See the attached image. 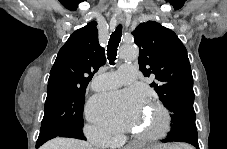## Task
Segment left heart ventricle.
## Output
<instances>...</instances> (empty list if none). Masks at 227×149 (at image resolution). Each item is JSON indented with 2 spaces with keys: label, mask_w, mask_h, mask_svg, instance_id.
<instances>
[{
  "label": "left heart ventricle",
  "mask_w": 227,
  "mask_h": 149,
  "mask_svg": "<svg viewBox=\"0 0 227 149\" xmlns=\"http://www.w3.org/2000/svg\"><path fill=\"white\" fill-rule=\"evenodd\" d=\"M161 124L160 113L151 105L142 109L135 123V131L139 134H146L154 131Z\"/></svg>",
  "instance_id": "b2bd125f"
}]
</instances>
